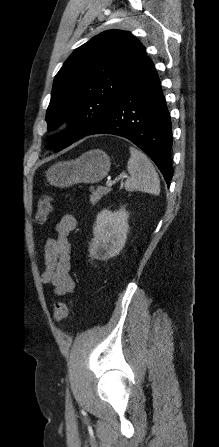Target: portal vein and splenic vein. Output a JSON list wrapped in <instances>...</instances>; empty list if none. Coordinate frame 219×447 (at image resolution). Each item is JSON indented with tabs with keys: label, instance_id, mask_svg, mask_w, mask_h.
I'll list each match as a JSON object with an SVG mask.
<instances>
[{
	"label": "portal vein and splenic vein",
	"instance_id": "1",
	"mask_svg": "<svg viewBox=\"0 0 219 447\" xmlns=\"http://www.w3.org/2000/svg\"><path fill=\"white\" fill-rule=\"evenodd\" d=\"M122 178H127V175L126 174H123V175H120V176H118L116 179H115V181H112V180H107V182H106V186L107 187H112L113 186V184L116 182V181H119L120 179H122Z\"/></svg>",
	"mask_w": 219,
	"mask_h": 447
}]
</instances>
